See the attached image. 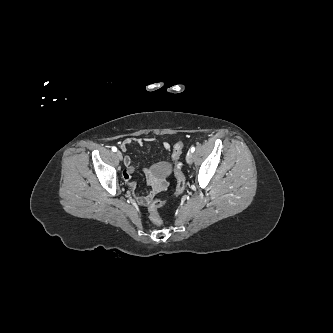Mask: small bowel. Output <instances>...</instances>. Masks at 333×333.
<instances>
[{
  "label": "small bowel",
  "mask_w": 333,
  "mask_h": 333,
  "mask_svg": "<svg viewBox=\"0 0 333 333\" xmlns=\"http://www.w3.org/2000/svg\"><path fill=\"white\" fill-rule=\"evenodd\" d=\"M154 139L152 138H135V137H127L121 144V149L126 150V148L131 144L142 145L145 142H152ZM163 147L166 150H170L171 145L168 142L163 143ZM125 170L123 172V178L131 190H135L136 184L132 180V174L135 171L134 166L132 165V161L130 157L126 156L124 159ZM170 168V165L166 162H158L150 167L145 169V174L147 176L148 184L150 186V190L145 194H135V199L138 204L145 206L147 205L156 194L164 191L167 187V180L160 176L165 174Z\"/></svg>",
  "instance_id": "c3829d8e"
}]
</instances>
